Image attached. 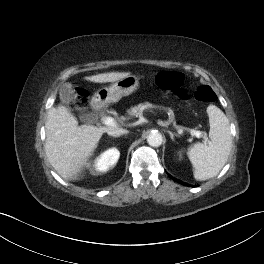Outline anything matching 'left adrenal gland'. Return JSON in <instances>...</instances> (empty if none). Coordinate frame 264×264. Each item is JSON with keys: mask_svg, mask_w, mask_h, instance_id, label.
Here are the masks:
<instances>
[{"mask_svg": "<svg viewBox=\"0 0 264 264\" xmlns=\"http://www.w3.org/2000/svg\"><path fill=\"white\" fill-rule=\"evenodd\" d=\"M168 133H169V135H170V138L172 139V141H174V137L176 136V137H179V135L178 134H174V133H172L171 131H167Z\"/></svg>", "mask_w": 264, "mask_h": 264, "instance_id": "obj_1", "label": "left adrenal gland"}]
</instances>
